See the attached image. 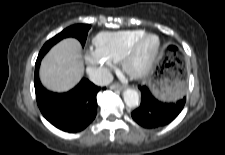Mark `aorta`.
<instances>
[{
	"label": "aorta",
	"instance_id": "aorta-1",
	"mask_svg": "<svg viewBox=\"0 0 225 155\" xmlns=\"http://www.w3.org/2000/svg\"><path fill=\"white\" fill-rule=\"evenodd\" d=\"M125 104L129 108H136L139 105L140 98L139 94L135 89L128 88L123 93Z\"/></svg>",
	"mask_w": 225,
	"mask_h": 155
}]
</instances>
